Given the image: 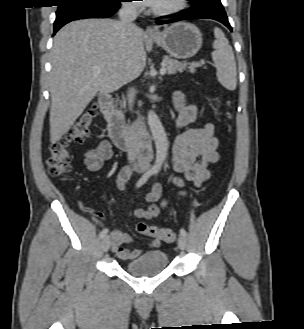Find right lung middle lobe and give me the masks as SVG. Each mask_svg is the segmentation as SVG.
<instances>
[{"mask_svg":"<svg viewBox=\"0 0 304 329\" xmlns=\"http://www.w3.org/2000/svg\"><path fill=\"white\" fill-rule=\"evenodd\" d=\"M59 8H63L70 5H76V4H112L114 2H117L118 0H58Z\"/></svg>","mask_w":304,"mask_h":329,"instance_id":"1","label":"right lung middle lobe"}]
</instances>
